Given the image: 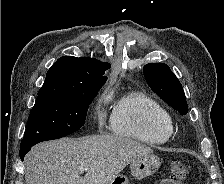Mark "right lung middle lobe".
<instances>
[{
  "mask_svg": "<svg viewBox=\"0 0 224 184\" xmlns=\"http://www.w3.org/2000/svg\"><path fill=\"white\" fill-rule=\"evenodd\" d=\"M97 91L81 94H38L20 148L64 137L79 130Z\"/></svg>",
  "mask_w": 224,
  "mask_h": 184,
  "instance_id": "obj_1",
  "label": "right lung middle lobe"
}]
</instances>
